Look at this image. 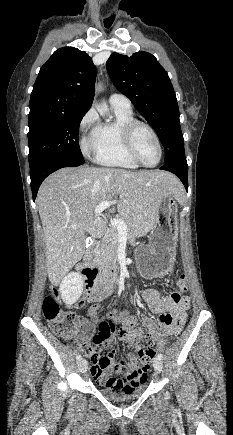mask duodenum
Listing matches in <instances>:
<instances>
[{
	"label": "duodenum",
	"instance_id": "1",
	"mask_svg": "<svg viewBox=\"0 0 233 435\" xmlns=\"http://www.w3.org/2000/svg\"><path fill=\"white\" fill-rule=\"evenodd\" d=\"M100 247V242H95L85 253L78 266L79 272L85 277V298L88 302H96L104 299L110 292V285L119 277V269H111L102 273L92 264L94 253Z\"/></svg>",
	"mask_w": 233,
	"mask_h": 435
}]
</instances>
